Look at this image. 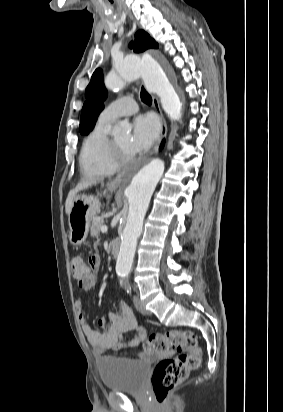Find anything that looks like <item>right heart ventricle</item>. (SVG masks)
<instances>
[{"label":"right heart ventricle","mask_w":283,"mask_h":412,"mask_svg":"<svg viewBox=\"0 0 283 412\" xmlns=\"http://www.w3.org/2000/svg\"><path fill=\"white\" fill-rule=\"evenodd\" d=\"M108 125L99 119L83 141L79 167L84 177L109 176L118 169L109 154Z\"/></svg>","instance_id":"e07e8e85"}]
</instances>
